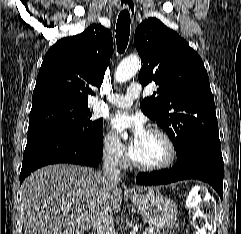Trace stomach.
<instances>
[{
    "mask_svg": "<svg viewBox=\"0 0 241 234\" xmlns=\"http://www.w3.org/2000/svg\"><path fill=\"white\" fill-rule=\"evenodd\" d=\"M130 198L140 214L155 228L164 229L175 223L177 206L168 197L152 189L144 194H134Z\"/></svg>",
    "mask_w": 241,
    "mask_h": 234,
    "instance_id": "0dacf381",
    "label": "stomach"
}]
</instances>
